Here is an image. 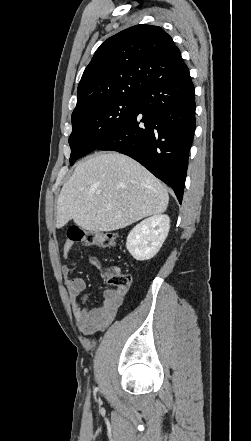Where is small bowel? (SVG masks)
Listing matches in <instances>:
<instances>
[{
  "instance_id": "obj_1",
  "label": "small bowel",
  "mask_w": 251,
  "mask_h": 441,
  "mask_svg": "<svg viewBox=\"0 0 251 441\" xmlns=\"http://www.w3.org/2000/svg\"><path fill=\"white\" fill-rule=\"evenodd\" d=\"M72 241H65L62 248L64 257H68L73 247ZM88 261L96 269L102 270L100 261L92 254L88 255ZM72 269L65 265L62 268V273L68 277V291L73 299V309L76 324L78 329L87 335L104 330L116 317L127 289H106L103 293L102 303L97 307H88V293L86 292V282L81 277H70ZM77 298H80L77 301Z\"/></svg>"
}]
</instances>
